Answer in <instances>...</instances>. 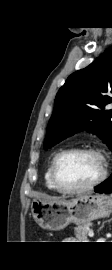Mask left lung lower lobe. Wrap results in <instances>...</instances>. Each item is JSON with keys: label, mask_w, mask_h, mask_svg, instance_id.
<instances>
[{"label": "left lung lower lobe", "mask_w": 112, "mask_h": 270, "mask_svg": "<svg viewBox=\"0 0 112 270\" xmlns=\"http://www.w3.org/2000/svg\"><path fill=\"white\" fill-rule=\"evenodd\" d=\"M95 188V192L97 193H112V174L105 182Z\"/></svg>", "instance_id": "left-lung-lower-lobe-1"}]
</instances>
